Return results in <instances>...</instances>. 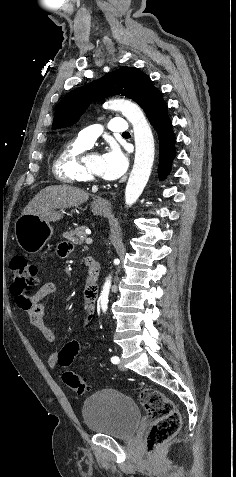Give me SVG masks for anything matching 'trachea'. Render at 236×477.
<instances>
[{
  "instance_id": "trachea-1",
  "label": "trachea",
  "mask_w": 236,
  "mask_h": 477,
  "mask_svg": "<svg viewBox=\"0 0 236 477\" xmlns=\"http://www.w3.org/2000/svg\"><path fill=\"white\" fill-rule=\"evenodd\" d=\"M123 134L126 135V134H129V132H125V133H123Z\"/></svg>"
}]
</instances>
